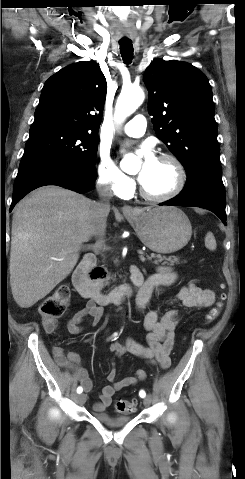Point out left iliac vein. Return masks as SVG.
I'll list each match as a JSON object with an SVG mask.
<instances>
[{"label": "left iliac vein", "mask_w": 245, "mask_h": 479, "mask_svg": "<svg viewBox=\"0 0 245 479\" xmlns=\"http://www.w3.org/2000/svg\"><path fill=\"white\" fill-rule=\"evenodd\" d=\"M150 403H151V399H150L149 396H147V397L143 400V404H144L145 406H149Z\"/></svg>", "instance_id": "1"}]
</instances>
